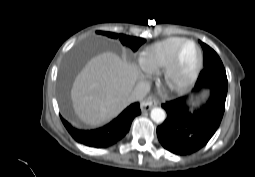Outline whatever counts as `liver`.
Segmentation results:
<instances>
[{"label":"liver","mask_w":255,"mask_h":177,"mask_svg":"<svg viewBox=\"0 0 255 177\" xmlns=\"http://www.w3.org/2000/svg\"><path fill=\"white\" fill-rule=\"evenodd\" d=\"M137 78L136 66L112 52L91 58L76 76L71 89L75 113L91 126L112 120L129 104L126 99Z\"/></svg>","instance_id":"obj_1"}]
</instances>
